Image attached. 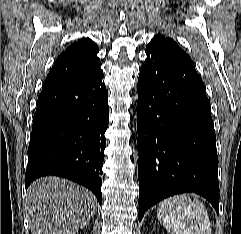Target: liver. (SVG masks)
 Instances as JSON below:
<instances>
[{"mask_svg": "<svg viewBox=\"0 0 241 234\" xmlns=\"http://www.w3.org/2000/svg\"><path fill=\"white\" fill-rule=\"evenodd\" d=\"M26 203L32 234H76L97 209L89 190L54 176L34 181L27 189Z\"/></svg>", "mask_w": 241, "mask_h": 234, "instance_id": "1", "label": "liver"}]
</instances>
